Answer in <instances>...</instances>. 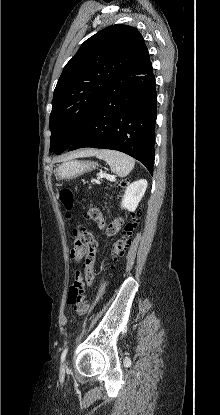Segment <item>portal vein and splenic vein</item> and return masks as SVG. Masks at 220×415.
<instances>
[{
    "label": "portal vein and splenic vein",
    "mask_w": 220,
    "mask_h": 415,
    "mask_svg": "<svg viewBox=\"0 0 220 415\" xmlns=\"http://www.w3.org/2000/svg\"><path fill=\"white\" fill-rule=\"evenodd\" d=\"M100 178L114 179V176L102 173V174H100Z\"/></svg>",
    "instance_id": "portal-vein-and-splenic-vein-1"
}]
</instances>
